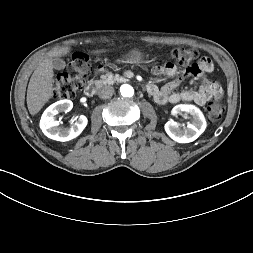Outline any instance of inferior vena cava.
Instances as JSON below:
<instances>
[{
	"label": "inferior vena cava",
	"instance_id": "obj_1",
	"mask_svg": "<svg viewBox=\"0 0 253 253\" xmlns=\"http://www.w3.org/2000/svg\"><path fill=\"white\" fill-rule=\"evenodd\" d=\"M114 93V88L112 86H103L99 92H98V96L102 99H107L112 97Z\"/></svg>",
	"mask_w": 253,
	"mask_h": 253
}]
</instances>
